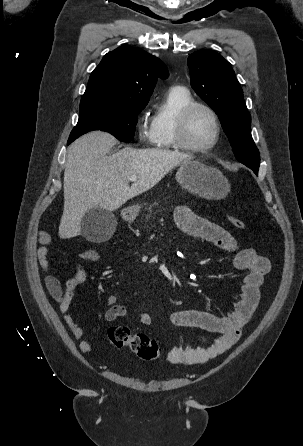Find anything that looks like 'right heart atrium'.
Returning <instances> with one entry per match:
<instances>
[{
	"label": "right heart atrium",
	"mask_w": 303,
	"mask_h": 446,
	"mask_svg": "<svg viewBox=\"0 0 303 446\" xmlns=\"http://www.w3.org/2000/svg\"><path fill=\"white\" fill-rule=\"evenodd\" d=\"M138 136L141 141H146L150 139V130H148L145 126L140 125L138 129Z\"/></svg>",
	"instance_id": "obj_1"
}]
</instances>
